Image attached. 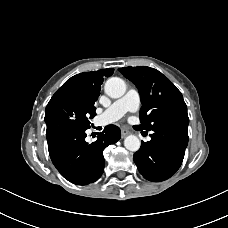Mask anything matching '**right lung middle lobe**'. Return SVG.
<instances>
[{
	"label": "right lung middle lobe",
	"instance_id": "right-lung-middle-lobe-1",
	"mask_svg": "<svg viewBox=\"0 0 228 228\" xmlns=\"http://www.w3.org/2000/svg\"><path fill=\"white\" fill-rule=\"evenodd\" d=\"M96 115L93 104L79 99L74 93L60 90L52 96L45 111L46 137L68 129L90 128V121Z\"/></svg>",
	"mask_w": 228,
	"mask_h": 228
}]
</instances>
